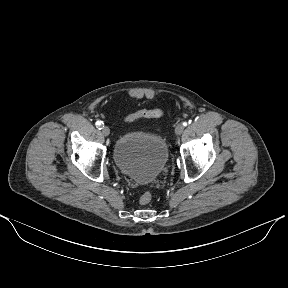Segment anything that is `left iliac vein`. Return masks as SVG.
<instances>
[{
    "instance_id": "obj_1",
    "label": "left iliac vein",
    "mask_w": 288,
    "mask_h": 288,
    "mask_svg": "<svg viewBox=\"0 0 288 288\" xmlns=\"http://www.w3.org/2000/svg\"><path fill=\"white\" fill-rule=\"evenodd\" d=\"M184 131V126L182 124H178L175 128V133L177 135H181Z\"/></svg>"
}]
</instances>
